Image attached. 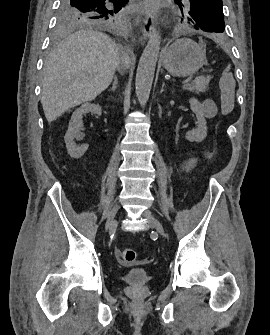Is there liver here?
Listing matches in <instances>:
<instances>
[{
  "mask_svg": "<svg viewBox=\"0 0 270 335\" xmlns=\"http://www.w3.org/2000/svg\"><path fill=\"white\" fill-rule=\"evenodd\" d=\"M128 56L107 34L80 30L70 34L49 54L43 76L42 98L48 122H54L69 108L95 100L112 82Z\"/></svg>",
  "mask_w": 270,
  "mask_h": 335,
  "instance_id": "1",
  "label": "liver"
}]
</instances>
